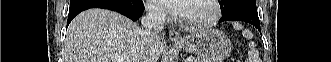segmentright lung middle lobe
I'll return each instance as SVG.
<instances>
[{"label": "right lung middle lobe", "mask_w": 331, "mask_h": 62, "mask_svg": "<svg viewBox=\"0 0 331 62\" xmlns=\"http://www.w3.org/2000/svg\"><path fill=\"white\" fill-rule=\"evenodd\" d=\"M76 1H78V0H71L70 3H74ZM115 1L125 4V5H129V6L137 5L140 3V0H115Z\"/></svg>", "instance_id": "dd1d6c3e"}]
</instances>
